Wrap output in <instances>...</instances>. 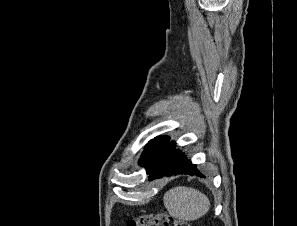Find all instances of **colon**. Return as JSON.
<instances>
[{
	"label": "colon",
	"mask_w": 297,
	"mask_h": 226,
	"mask_svg": "<svg viewBox=\"0 0 297 226\" xmlns=\"http://www.w3.org/2000/svg\"><path fill=\"white\" fill-rule=\"evenodd\" d=\"M124 226H191L188 221L172 219L167 213H152L129 218Z\"/></svg>",
	"instance_id": "1"
}]
</instances>
